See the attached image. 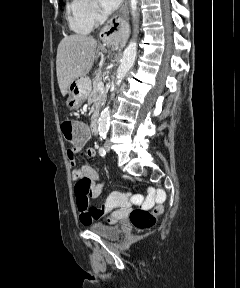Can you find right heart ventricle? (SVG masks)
Returning a JSON list of instances; mask_svg holds the SVG:
<instances>
[{"instance_id": "obj_1", "label": "right heart ventricle", "mask_w": 240, "mask_h": 288, "mask_svg": "<svg viewBox=\"0 0 240 288\" xmlns=\"http://www.w3.org/2000/svg\"><path fill=\"white\" fill-rule=\"evenodd\" d=\"M66 13L69 26L74 32L87 34L92 30L93 24L86 18L81 0H71L66 6Z\"/></svg>"}]
</instances>
